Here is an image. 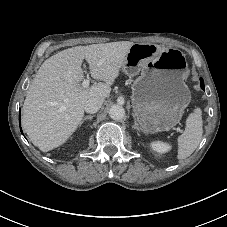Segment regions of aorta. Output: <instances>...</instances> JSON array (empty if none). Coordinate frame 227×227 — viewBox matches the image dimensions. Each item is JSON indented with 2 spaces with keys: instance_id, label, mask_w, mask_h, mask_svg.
<instances>
[{
  "instance_id": "aorta-1",
  "label": "aorta",
  "mask_w": 227,
  "mask_h": 227,
  "mask_svg": "<svg viewBox=\"0 0 227 227\" xmlns=\"http://www.w3.org/2000/svg\"><path fill=\"white\" fill-rule=\"evenodd\" d=\"M109 116L114 120H121L125 116V110L121 105H113L109 109Z\"/></svg>"
}]
</instances>
